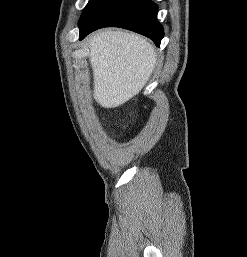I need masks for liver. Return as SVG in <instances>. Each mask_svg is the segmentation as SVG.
<instances>
[{"label":"liver","mask_w":247,"mask_h":257,"mask_svg":"<svg viewBox=\"0 0 247 257\" xmlns=\"http://www.w3.org/2000/svg\"><path fill=\"white\" fill-rule=\"evenodd\" d=\"M88 42L96 102L115 108L136 96L154 70V46L141 35L111 29L95 32Z\"/></svg>","instance_id":"6515ba94"}]
</instances>
